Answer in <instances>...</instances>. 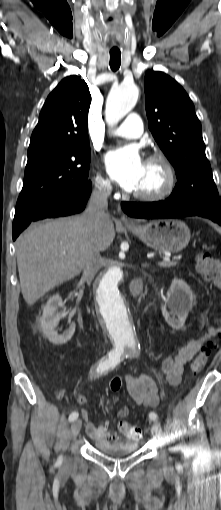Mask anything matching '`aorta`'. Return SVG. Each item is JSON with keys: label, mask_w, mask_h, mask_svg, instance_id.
<instances>
[{"label": "aorta", "mask_w": 221, "mask_h": 510, "mask_svg": "<svg viewBox=\"0 0 221 510\" xmlns=\"http://www.w3.org/2000/svg\"><path fill=\"white\" fill-rule=\"evenodd\" d=\"M139 89L135 84H121L111 90L105 109L108 125L117 124L136 105ZM123 270L110 267L99 279L96 302L103 324L114 346L120 350H135L139 341L130 307L122 291Z\"/></svg>", "instance_id": "aorta-1"}]
</instances>
